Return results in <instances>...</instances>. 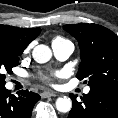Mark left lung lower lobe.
<instances>
[{"label": "left lung lower lobe", "instance_id": "obj_1", "mask_svg": "<svg viewBox=\"0 0 118 118\" xmlns=\"http://www.w3.org/2000/svg\"><path fill=\"white\" fill-rule=\"evenodd\" d=\"M73 107L68 118H118V92L93 90L76 100V95H69Z\"/></svg>", "mask_w": 118, "mask_h": 118}]
</instances>
